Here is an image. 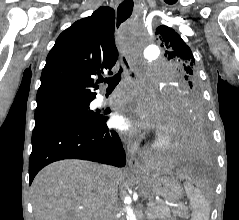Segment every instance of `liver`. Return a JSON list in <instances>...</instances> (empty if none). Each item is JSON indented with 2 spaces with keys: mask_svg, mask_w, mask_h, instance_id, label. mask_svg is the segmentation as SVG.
<instances>
[{
  "mask_svg": "<svg viewBox=\"0 0 239 220\" xmlns=\"http://www.w3.org/2000/svg\"><path fill=\"white\" fill-rule=\"evenodd\" d=\"M105 168L89 161L67 159L42 169L31 186L35 220H97L104 215L107 200L112 204L113 215L116 190L107 199ZM176 175L181 180L189 179L185 170ZM112 176L115 184L123 178L120 169H113Z\"/></svg>",
  "mask_w": 239,
  "mask_h": 220,
  "instance_id": "liver-1",
  "label": "liver"
}]
</instances>
